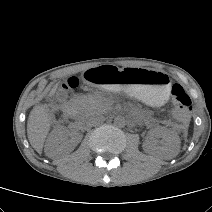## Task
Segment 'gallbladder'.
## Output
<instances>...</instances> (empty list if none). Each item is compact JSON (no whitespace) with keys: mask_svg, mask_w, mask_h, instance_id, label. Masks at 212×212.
Listing matches in <instances>:
<instances>
[{"mask_svg":"<svg viewBox=\"0 0 212 212\" xmlns=\"http://www.w3.org/2000/svg\"><path fill=\"white\" fill-rule=\"evenodd\" d=\"M67 97V92L63 89H59L56 93V98L58 100H64Z\"/></svg>","mask_w":212,"mask_h":212,"instance_id":"gallbladder-1","label":"gallbladder"}]
</instances>
